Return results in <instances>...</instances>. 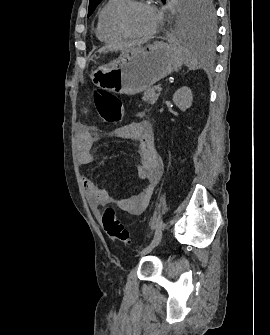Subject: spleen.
Masks as SVG:
<instances>
[{"instance_id":"spleen-1","label":"spleen","mask_w":270,"mask_h":335,"mask_svg":"<svg viewBox=\"0 0 270 335\" xmlns=\"http://www.w3.org/2000/svg\"><path fill=\"white\" fill-rule=\"evenodd\" d=\"M184 56L186 60V64H188L190 70H195L198 66V62L191 50H184Z\"/></svg>"}]
</instances>
